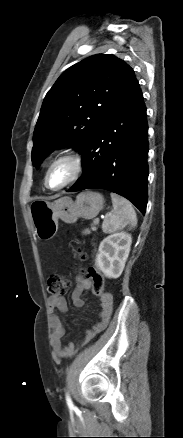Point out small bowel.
Here are the masks:
<instances>
[{
    "mask_svg": "<svg viewBox=\"0 0 183 438\" xmlns=\"http://www.w3.org/2000/svg\"><path fill=\"white\" fill-rule=\"evenodd\" d=\"M92 284L88 277L79 275L77 277V284L72 291L71 299L72 304L79 308L84 305L82 295L84 291L89 290ZM100 312L98 321L86 331L84 341L90 340L97 333L101 332L108 324L110 315L113 310V297L110 293H106L99 299ZM68 310V304L64 296L50 297L49 298V324L52 329V343L56 354L59 357H70L75 351V344L68 343L62 345L61 339L65 334L64 324L58 313L64 314Z\"/></svg>",
    "mask_w": 183,
    "mask_h": 438,
    "instance_id": "c3829d8e",
    "label": "small bowel"
}]
</instances>
